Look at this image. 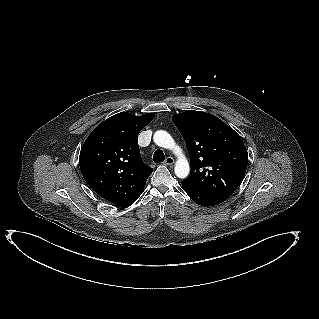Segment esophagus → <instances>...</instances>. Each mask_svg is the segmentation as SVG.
<instances>
[{"instance_id": "34e87169", "label": "esophagus", "mask_w": 319, "mask_h": 319, "mask_svg": "<svg viewBox=\"0 0 319 319\" xmlns=\"http://www.w3.org/2000/svg\"><path fill=\"white\" fill-rule=\"evenodd\" d=\"M164 163H165L166 165L171 166V165H173V164L175 163V160H174L173 157L168 156V157H166Z\"/></svg>"}]
</instances>
